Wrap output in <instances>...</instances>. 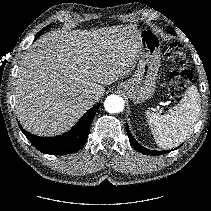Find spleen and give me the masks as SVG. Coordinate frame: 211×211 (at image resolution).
<instances>
[{"label":"spleen","mask_w":211,"mask_h":211,"mask_svg":"<svg viewBox=\"0 0 211 211\" xmlns=\"http://www.w3.org/2000/svg\"><path fill=\"white\" fill-rule=\"evenodd\" d=\"M200 109V94L196 86L192 85L179 104L170 108L166 114L147 111V122L157 145L166 149L185 141L193 132Z\"/></svg>","instance_id":"3e777b00"}]
</instances>
